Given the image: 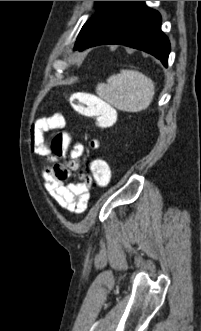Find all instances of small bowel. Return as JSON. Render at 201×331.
<instances>
[{
  "instance_id": "1",
  "label": "small bowel",
  "mask_w": 201,
  "mask_h": 331,
  "mask_svg": "<svg viewBox=\"0 0 201 331\" xmlns=\"http://www.w3.org/2000/svg\"><path fill=\"white\" fill-rule=\"evenodd\" d=\"M66 122L61 113H54L39 118L32 126L30 133V147L32 153L46 158L41 169L44 186L54 201L71 213L81 214L88 205L92 178L87 174H80L77 182H68L72 170L80 168V158L84 153V146L78 140L70 137V149L66 152L67 162L58 161L44 142V133L49 130L63 132ZM92 148L98 146L97 140L90 142Z\"/></svg>"
}]
</instances>
